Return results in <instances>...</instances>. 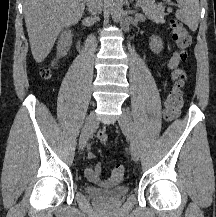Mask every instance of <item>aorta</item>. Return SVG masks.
Wrapping results in <instances>:
<instances>
[{
	"mask_svg": "<svg viewBox=\"0 0 216 217\" xmlns=\"http://www.w3.org/2000/svg\"><path fill=\"white\" fill-rule=\"evenodd\" d=\"M123 0H109L110 13L115 22H119L123 13Z\"/></svg>",
	"mask_w": 216,
	"mask_h": 217,
	"instance_id": "aorta-1",
	"label": "aorta"
}]
</instances>
